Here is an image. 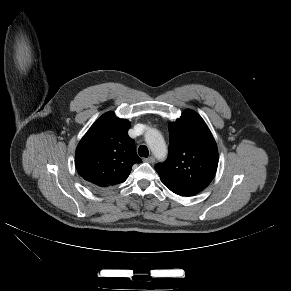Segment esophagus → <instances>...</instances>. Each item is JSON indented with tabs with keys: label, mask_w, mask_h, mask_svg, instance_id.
<instances>
[{
	"label": "esophagus",
	"mask_w": 291,
	"mask_h": 291,
	"mask_svg": "<svg viewBox=\"0 0 291 291\" xmlns=\"http://www.w3.org/2000/svg\"><path fill=\"white\" fill-rule=\"evenodd\" d=\"M144 161L148 162V163H154L155 162V158L153 156H150L148 158H145Z\"/></svg>",
	"instance_id": "obj_1"
}]
</instances>
